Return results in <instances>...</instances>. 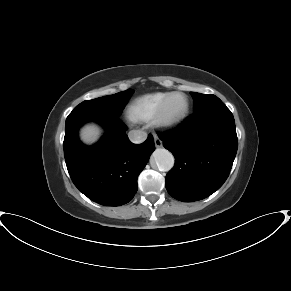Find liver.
Segmentation results:
<instances>
[{
	"label": "liver",
	"mask_w": 291,
	"mask_h": 291,
	"mask_svg": "<svg viewBox=\"0 0 291 291\" xmlns=\"http://www.w3.org/2000/svg\"><path fill=\"white\" fill-rule=\"evenodd\" d=\"M101 134L100 128L95 124H88L80 131V138L86 144L96 142Z\"/></svg>",
	"instance_id": "liver-1"
}]
</instances>
